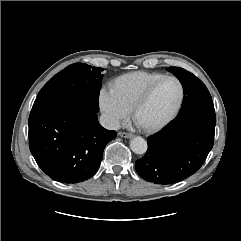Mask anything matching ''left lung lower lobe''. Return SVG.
<instances>
[{"instance_id": "0a47b994", "label": "left lung lower lobe", "mask_w": 241, "mask_h": 241, "mask_svg": "<svg viewBox=\"0 0 241 241\" xmlns=\"http://www.w3.org/2000/svg\"><path fill=\"white\" fill-rule=\"evenodd\" d=\"M214 106L181 113L162 132L148 139V150L137 160V173L156 184H170L193 175L213 147Z\"/></svg>"}]
</instances>
